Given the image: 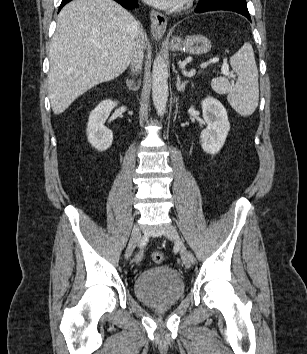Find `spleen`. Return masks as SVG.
<instances>
[{
  "instance_id": "3e777b00",
  "label": "spleen",
  "mask_w": 307,
  "mask_h": 354,
  "mask_svg": "<svg viewBox=\"0 0 307 354\" xmlns=\"http://www.w3.org/2000/svg\"><path fill=\"white\" fill-rule=\"evenodd\" d=\"M230 65L237 75L236 83L219 77L212 80V88L219 94H227L228 102L241 116H250L259 102L258 70L250 43H244L231 57Z\"/></svg>"
}]
</instances>
